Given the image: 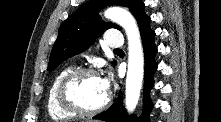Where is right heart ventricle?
<instances>
[{
  "label": "right heart ventricle",
  "instance_id": "e07e8e85",
  "mask_svg": "<svg viewBox=\"0 0 221 122\" xmlns=\"http://www.w3.org/2000/svg\"><path fill=\"white\" fill-rule=\"evenodd\" d=\"M71 70V67H66L58 72L49 88L47 95V110L50 117L54 120H65L75 116V114L61 108L57 101V87L61 79Z\"/></svg>",
  "mask_w": 221,
  "mask_h": 122
}]
</instances>
